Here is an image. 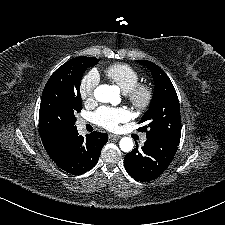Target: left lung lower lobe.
<instances>
[{
  "label": "left lung lower lobe",
  "mask_w": 225,
  "mask_h": 225,
  "mask_svg": "<svg viewBox=\"0 0 225 225\" xmlns=\"http://www.w3.org/2000/svg\"><path fill=\"white\" fill-rule=\"evenodd\" d=\"M177 149L178 145L167 140L147 138L142 150L136 146L125 155V169L138 181H151L168 168Z\"/></svg>",
  "instance_id": "obj_1"
}]
</instances>
